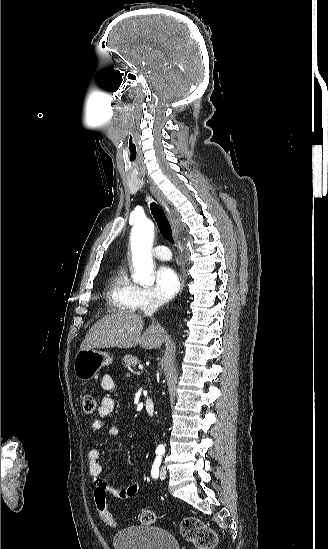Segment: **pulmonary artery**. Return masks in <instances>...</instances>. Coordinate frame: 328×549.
Instances as JSON below:
<instances>
[{"label":"pulmonary artery","mask_w":328,"mask_h":549,"mask_svg":"<svg viewBox=\"0 0 328 549\" xmlns=\"http://www.w3.org/2000/svg\"><path fill=\"white\" fill-rule=\"evenodd\" d=\"M152 252L157 259L167 260L170 258L169 249L167 246H155Z\"/></svg>","instance_id":"e3ab8cb5"}]
</instances>
